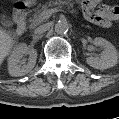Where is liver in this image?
<instances>
[{
	"instance_id": "obj_1",
	"label": "liver",
	"mask_w": 119,
	"mask_h": 119,
	"mask_svg": "<svg viewBox=\"0 0 119 119\" xmlns=\"http://www.w3.org/2000/svg\"><path fill=\"white\" fill-rule=\"evenodd\" d=\"M14 38L12 34L0 28V65L5 57H7L13 47Z\"/></svg>"
}]
</instances>
